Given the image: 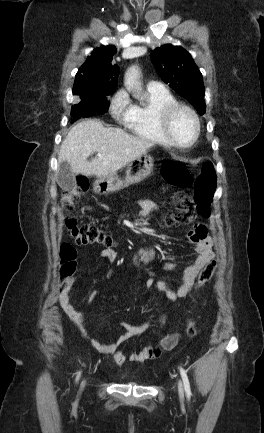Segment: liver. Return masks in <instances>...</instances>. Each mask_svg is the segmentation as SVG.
Returning a JSON list of instances; mask_svg holds the SVG:
<instances>
[{
	"instance_id": "liver-1",
	"label": "liver",
	"mask_w": 264,
	"mask_h": 433,
	"mask_svg": "<svg viewBox=\"0 0 264 433\" xmlns=\"http://www.w3.org/2000/svg\"><path fill=\"white\" fill-rule=\"evenodd\" d=\"M154 143L131 135L120 128L105 127L95 119L82 120L73 125L62 141L58 161L69 163L74 174L113 176L128 163L146 153ZM97 153L92 161L87 158Z\"/></svg>"
}]
</instances>
